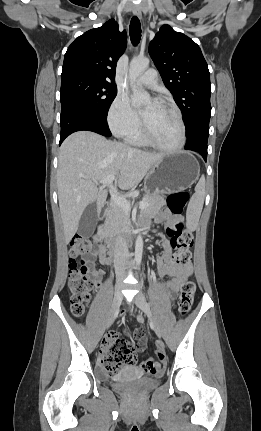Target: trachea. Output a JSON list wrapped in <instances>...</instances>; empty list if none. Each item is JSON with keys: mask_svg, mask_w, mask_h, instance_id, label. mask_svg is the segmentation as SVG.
I'll list each match as a JSON object with an SVG mask.
<instances>
[{"mask_svg": "<svg viewBox=\"0 0 261 431\" xmlns=\"http://www.w3.org/2000/svg\"><path fill=\"white\" fill-rule=\"evenodd\" d=\"M130 37L131 42L137 45L141 39V24L137 16H133L130 22Z\"/></svg>", "mask_w": 261, "mask_h": 431, "instance_id": "3493384b", "label": "trachea"}]
</instances>
